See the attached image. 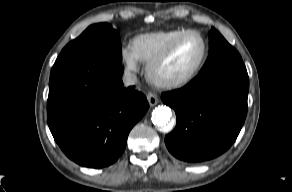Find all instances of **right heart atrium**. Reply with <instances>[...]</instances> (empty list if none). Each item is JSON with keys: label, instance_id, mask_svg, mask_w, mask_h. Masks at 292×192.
I'll return each instance as SVG.
<instances>
[{"label": "right heart atrium", "instance_id": "right-heart-atrium-1", "mask_svg": "<svg viewBox=\"0 0 292 192\" xmlns=\"http://www.w3.org/2000/svg\"><path fill=\"white\" fill-rule=\"evenodd\" d=\"M121 58L128 71L135 72L138 70L139 60L137 59L132 47L126 46L122 48Z\"/></svg>", "mask_w": 292, "mask_h": 192}]
</instances>
